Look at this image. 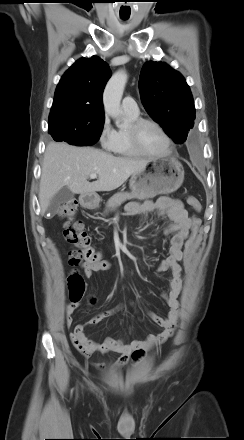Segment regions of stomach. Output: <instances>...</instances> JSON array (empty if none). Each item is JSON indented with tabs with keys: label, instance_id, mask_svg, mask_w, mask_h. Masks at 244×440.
I'll return each mask as SVG.
<instances>
[{
	"label": "stomach",
	"instance_id": "0dacf381",
	"mask_svg": "<svg viewBox=\"0 0 244 440\" xmlns=\"http://www.w3.org/2000/svg\"><path fill=\"white\" fill-rule=\"evenodd\" d=\"M184 168L173 157L149 160L146 166L134 173L129 181L131 191L137 195L156 196L175 192L183 183ZM84 204L94 207L96 199L84 201Z\"/></svg>",
	"mask_w": 244,
	"mask_h": 440
}]
</instances>
